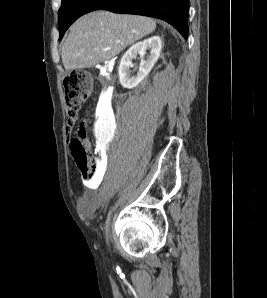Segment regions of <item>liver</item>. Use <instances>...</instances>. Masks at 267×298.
<instances>
[{
    "label": "liver",
    "mask_w": 267,
    "mask_h": 298,
    "mask_svg": "<svg viewBox=\"0 0 267 298\" xmlns=\"http://www.w3.org/2000/svg\"><path fill=\"white\" fill-rule=\"evenodd\" d=\"M155 28L156 22L144 16L103 10L83 15L74 23L63 45V65L66 70H74L108 61Z\"/></svg>",
    "instance_id": "liver-1"
}]
</instances>
